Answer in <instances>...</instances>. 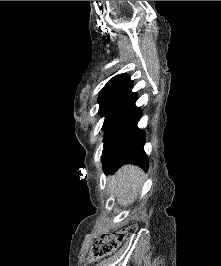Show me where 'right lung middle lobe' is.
Masks as SVG:
<instances>
[{
	"instance_id": "right-lung-middle-lobe-1",
	"label": "right lung middle lobe",
	"mask_w": 221,
	"mask_h": 266,
	"mask_svg": "<svg viewBox=\"0 0 221 266\" xmlns=\"http://www.w3.org/2000/svg\"><path fill=\"white\" fill-rule=\"evenodd\" d=\"M132 87H119L102 90L99 94V113L105 116L102 129L105 131L104 143L112 135L126 113L137 100Z\"/></svg>"
}]
</instances>
